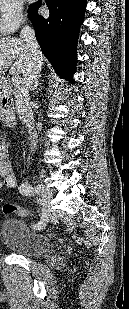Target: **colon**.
<instances>
[{"mask_svg":"<svg viewBox=\"0 0 129 309\" xmlns=\"http://www.w3.org/2000/svg\"><path fill=\"white\" fill-rule=\"evenodd\" d=\"M3 210L6 214H17L22 217H27L30 215V212L27 209L12 204H5Z\"/></svg>","mask_w":129,"mask_h":309,"instance_id":"5ec220e1","label":"colon"}]
</instances>
